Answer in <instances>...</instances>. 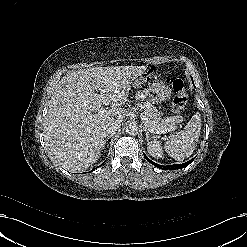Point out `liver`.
<instances>
[{"label":"liver","instance_id":"obj_1","mask_svg":"<svg viewBox=\"0 0 247 247\" xmlns=\"http://www.w3.org/2000/svg\"><path fill=\"white\" fill-rule=\"evenodd\" d=\"M147 66L90 67L72 71L55 86L43 122L44 141L50 160L71 172L86 170L100 157L104 126L125 119V104L132 81ZM99 90L100 94L95 91ZM103 105L111 108L103 116Z\"/></svg>","mask_w":247,"mask_h":247}]
</instances>
